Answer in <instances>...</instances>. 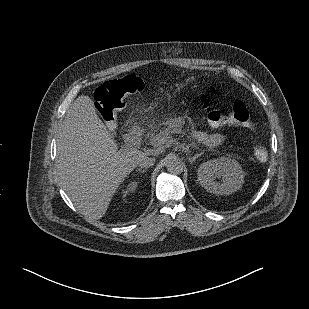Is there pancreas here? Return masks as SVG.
Returning <instances> with one entry per match:
<instances>
[{
	"mask_svg": "<svg viewBox=\"0 0 309 309\" xmlns=\"http://www.w3.org/2000/svg\"><path fill=\"white\" fill-rule=\"evenodd\" d=\"M172 129L166 128L163 130H158V129H152L148 134H147V139L151 145H154V143L157 141V139H165L167 141L172 133ZM161 146V145H160Z\"/></svg>",
	"mask_w": 309,
	"mask_h": 309,
	"instance_id": "obj_1",
	"label": "pancreas"
}]
</instances>
